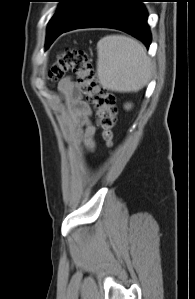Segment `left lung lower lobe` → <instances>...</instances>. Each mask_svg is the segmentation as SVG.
Wrapping results in <instances>:
<instances>
[{
	"label": "left lung lower lobe",
	"mask_w": 195,
	"mask_h": 299,
	"mask_svg": "<svg viewBox=\"0 0 195 299\" xmlns=\"http://www.w3.org/2000/svg\"><path fill=\"white\" fill-rule=\"evenodd\" d=\"M145 0H88L77 17L66 27L55 31L46 47L62 33L91 27L122 30L141 40L148 48L151 34L147 24L148 14L142 2Z\"/></svg>",
	"instance_id": "obj_1"
}]
</instances>
